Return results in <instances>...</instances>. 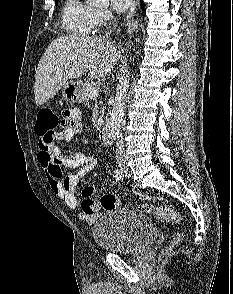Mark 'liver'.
Returning a JSON list of instances; mask_svg holds the SVG:
<instances>
[{
  "mask_svg": "<svg viewBox=\"0 0 233 294\" xmlns=\"http://www.w3.org/2000/svg\"><path fill=\"white\" fill-rule=\"evenodd\" d=\"M121 48L102 37L64 36L53 40L41 57L36 74L34 94L42 106L65 85L88 73L92 78L106 76L114 68Z\"/></svg>",
  "mask_w": 233,
  "mask_h": 294,
  "instance_id": "liver-1",
  "label": "liver"
}]
</instances>
